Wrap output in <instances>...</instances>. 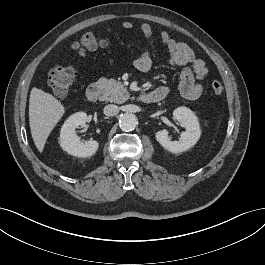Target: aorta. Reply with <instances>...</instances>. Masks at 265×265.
I'll list each match as a JSON object with an SVG mask.
<instances>
[{
    "instance_id": "obj_1",
    "label": "aorta",
    "mask_w": 265,
    "mask_h": 265,
    "mask_svg": "<svg viewBox=\"0 0 265 265\" xmlns=\"http://www.w3.org/2000/svg\"><path fill=\"white\" fill-rule=\"evenodd\" d=\"M120 128L124 131H132L138 124L136 115L132 113H125L120 118Z\"/></svg>"
}]
</instances>
